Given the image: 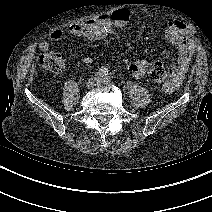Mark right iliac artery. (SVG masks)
<instances>
[{
    "instance_id": "obj_1",
    "label": "right iliac artery",
    "mask_w": 212,
    "mask_h": 212,
    "mask_svg": "<svg viewBox=\"0 0 212 212\" xmlns=\"http://www.w3.org/2000/svg\"><path fill=\"white\" fill-rule=\"evenodd\" d=\"M99 74L101 76H106L108 74V70L106 68H102L100 69Z\"/></svg>"
}]
</instances>
